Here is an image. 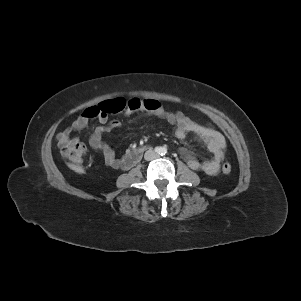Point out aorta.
<instances>
[{
    "label": "aorta",
    "mask_w": 301,
    "mask_h": 301,
    "mask_svg": "<svg viewBox=\"0 0 301 301\" xmlns=\"http://www.w3.org/2000/svg\"><path fill=\"white\" fill-rule=\"evenodd\" d=\"M156 152H157L158 154H161V155H162V154L165 152V150H164V148L159 147V148L156 149Z\"/></svg>",
    "instance_id": "762f6f07"
}]
</instances>
